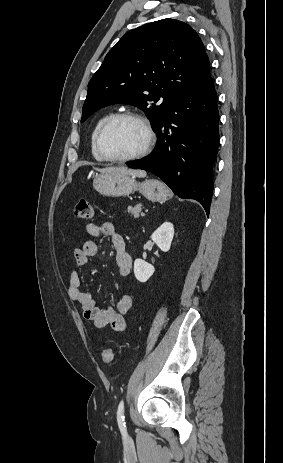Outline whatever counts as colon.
Here are the masks:
<instances>
[{"mask_svg": "<svg viewBox=\"0 0 283 463\" xmlns=\"http://www.w3.org/2000/svg\"><path fill=\"white\" fill-rule=\"evenodd\" d=\"M73 215L79 220H88L93 217V205L86 199H81L73 209ZM115 353L112 348H107L102 353V360L105 364H111Z\"/></svg>", "mask_w": 283, "mask_h": 463, "instance_id": "obj_1", "label": "colon"}]
</instances>
